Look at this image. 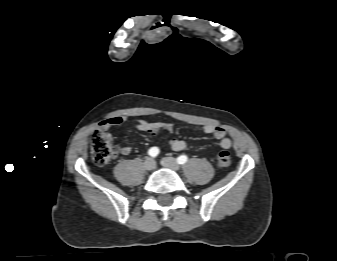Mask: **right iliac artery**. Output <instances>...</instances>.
Returning <instances> with one entry per match:
<instances>
[{
    "label": "right iliac artery",
    "instance_id": "obj_1",
    "mask_svg": "<svg viewBox=\"0 0 337 261\" xmlns=\"http://www.w3.org/2000/svg\"><path fill=\"white\" fill-rule=\"evenodd\" d=\"M148 154L152 157H156L159 154V149L157 147H152L149 149Z\"/></svg>",
    "mask_w": 337,
    "mask_h": 261
}]
</instances>
